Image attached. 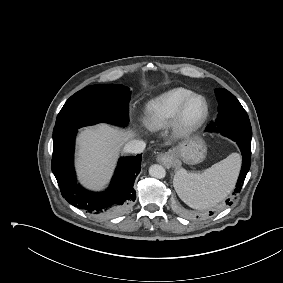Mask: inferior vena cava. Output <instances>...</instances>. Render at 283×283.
<instances>
[{
	"instance_id": "inferior-vena-cava-1",
	"label": "inferior vena cava",
	"mask_w": 283,
	"mask_h": 283,
	"mask_svg": "<svg viewBox=\"0 0 283 283\" xmlns=\"http://www.w3.org/2000/svg\"><path fill=\"white\" fill-rule=\"evenodd\" d=\"M146 144L140 140H130L124 147V151L132 154H139L144 151Z\"/></svg>"
}]
</instances>
